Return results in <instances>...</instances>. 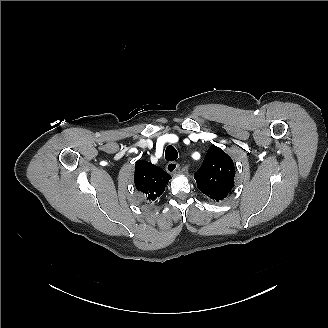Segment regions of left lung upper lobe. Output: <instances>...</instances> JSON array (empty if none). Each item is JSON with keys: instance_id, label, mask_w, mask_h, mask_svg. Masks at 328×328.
I'll return each mask as SVG.
<instances>
[{"instance_id": "1", "label": "left lung upper lobe", "mask_w": 328, "mask_h": 328, "mask_svg": "<svg viewBox=\"0 0 328 328\" xmlns=\"http://www.w3.org/2000/svg\"><path fill=\"white\" fill-rule=\"evenodd\" d=\"M235 168L232 159L219 147L211 146L194 175L198 189L209 198L223 200L234 187Z\"/></svg>"}]
</instances>
